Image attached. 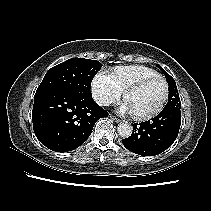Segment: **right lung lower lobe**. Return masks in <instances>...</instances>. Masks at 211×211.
Returning a JSON list of instances; mask_svg holds the SVG:
<instances>
[{
	"instance_id": "right-lung-lower-lobe-1",
	"label": "right lung lower lobe",
	"mask_w": 211,
	"mask_h": 211,
	"mask_svg": "<svg viewBox=\"0 0 211 211\" xmlns=\"http://www.w3.org/2000/svg\"><path fill=\"white\" fill-rule=\"evenodd\" d=\"M107 116L89 93L51 91L34 97L35 135L44 146L56 152L72 151L82 145L95 122Z\"/></svg>"
}]
</instances>
